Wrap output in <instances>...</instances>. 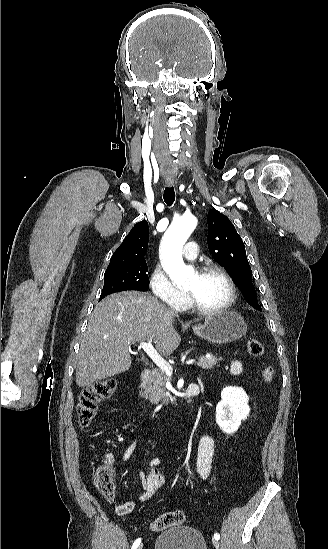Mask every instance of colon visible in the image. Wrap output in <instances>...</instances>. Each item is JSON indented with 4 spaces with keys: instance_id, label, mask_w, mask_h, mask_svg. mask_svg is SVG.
I'll return each mask as SVG.
<instances>
[{
    "instance_id": "obj_1",
    "label": "colon",
    "mask_w": 328,
    "mask_h": 549,
    "mask_svg": "<svg viewBox=\"0 0 328 549\" xmlns=\"http://www.w3.org/2000/svg\"><path fill=\"white\" fill-rule=\"evenodd\" d=\"M247 350L250 355L262 357L264 355V347L262 343L254 338H250L246 342ZM262 378L266 383H270L274 378V369L271 365H264L262 369ZM116 381L114 379H105L98 381L89 387L85 388L79 397L77 405L78 422L81 427H88L93 421L98 404L110 398L116 390ZM94 484L101 496L107 500L111 499L114 494L113 474L108 467H100L94 475ZM185 521V514L181 510H173L166 512L150 524V528L154 532L182 524Z\"/></svg>"
}]
</instances>
